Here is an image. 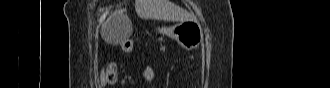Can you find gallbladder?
<instances>
[{
  "instance_id": "obj_1",
  "label": "gallbladder",
  "mask_w": 330,
  "mask_h": 88,
  "mask_svg": "<svg viewBox=\"0 0 330 88\" xmlns=\"http://www.w3.org/2000/svg\"><path fill=\"white\" fill-rule=\"evenodd\" d=\"M116 33L119 38V43H121L131 35L132 26L129 24V22L121 20L119 26L116 29Z\"/></svg>"
}]
</instances>
